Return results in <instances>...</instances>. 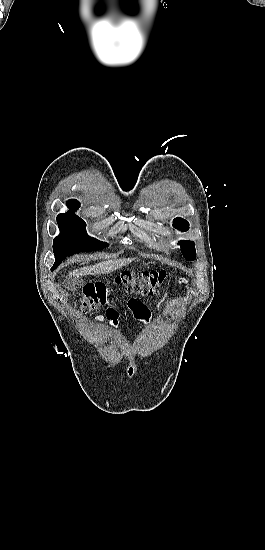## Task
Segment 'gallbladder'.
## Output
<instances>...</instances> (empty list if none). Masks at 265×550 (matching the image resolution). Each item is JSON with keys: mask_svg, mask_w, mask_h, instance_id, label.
<instances>
[{"mask_svg": "<svg viewBox=\"0 0 265 550\" xmlns=\"http://www.w3.org/2000/svg\"><path fill=\"white\" fill-rule=\"evenodd\" d=\"M66 284L68 289L76 291L82 287L83 282L80 278H72L68 280Z\"/></svg>", "mask_w": 265, "mask_h": 550, "instance_id": "gallbladder-1", "label": "gallbladder"}]
</instances>
